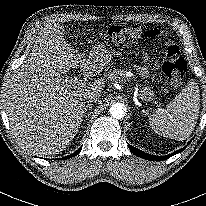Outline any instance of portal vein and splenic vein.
<instances>
[{
	"instance_id": "obj_1",
	"label": "portal vein and splenic vein",
	"mask_w": 206,
	"mask_h": 206,
	"mask_svg": "<svg viewBox=\"0 0 206 206\" xmlns=\"http://www.w3.org/2000/svg\"><path fill=\"white\" fill-rule=\"evenodd\" d=\"M82 80L81 79H77V78H66L65 79V84L72 86V87H77L80 86L82 84Z\"/></svg>"
}]
</instances>
